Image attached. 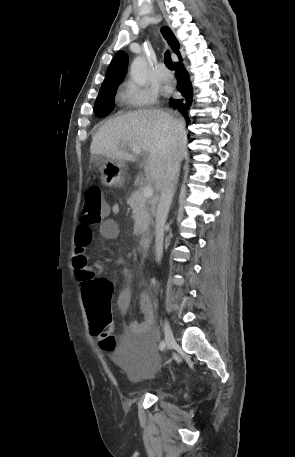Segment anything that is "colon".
<instances>
[{
    "label": "colon",
    "instance_id": "obj_1",
    "mask_svg": "<svg viewBox=\"0 0 295 457\" xmlns=\"http://www.w3.org/2000/svg\"><path fill=\"white\" fill-rule=\"evenodd\" d=\"M108 216L100 187L91 186L85 195V203L80 213V224L91 227L101 224ZM77 277L83 281L82 300L86 309L92 335L99 338L104 353L113 358L121 357V344L113 340L110 331L112 286L102 279H96L85 253H77L73 259Z\"/></svg>",
    "mask_w": 295,
    "mask_h": 457
}]
</instances>
